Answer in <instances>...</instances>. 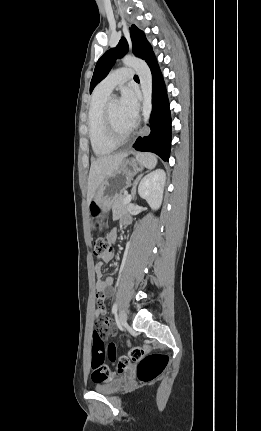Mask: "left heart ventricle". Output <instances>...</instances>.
<instances>
[{"label": "left heart ventricle", "mask_w": 261, "mask_h": 431, "mask_svg": "<svg viewBox=\"0 0 261 431\" xmlns=\"http://www.w3.org/2000/svg\"><path fill=\"white\" fill-rule=\"evenodd\" d=\"M110 117L112 124L119 135H125L131 127L124 120L119 104L117 102H113L109 107Z\"/></svg>", "instance_id": "1"}]
</instances>
